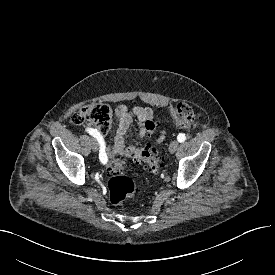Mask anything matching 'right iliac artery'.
<instances>
[{"label": "right iliac artery", "mask_w": 275, "mask_h": 275, "mask_svg": "<svg viewBox=\"0 0 275 275\" xmlns=\"http://www.w3.org/2000/svg\"><path fill=\"white\" fill-rule=\"evenodd\" d=\"M87 132L91 136L96 138V140L98 141V143L100 145L99 159L103 164H106L108 159H107V155L105 153V142H104V139H103L102 135L97 130H95L93 128H88Z\"/></svg>", "instance_id": "obj_1"}]
</instances>
